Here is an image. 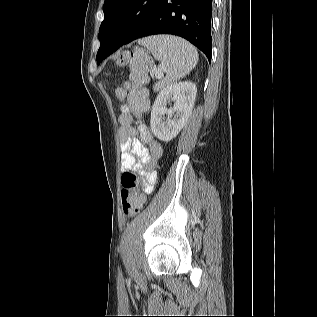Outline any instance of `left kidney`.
I'll return each instance as SVG.
<instances>
[{
    "mask_svg": "<svg viewBox=\"0 0 317 317\" xmlns=\"http://www.w3.org/2000/svg\"><path fill=\"white\" fill-rule=\"evenodd\" d=\"M196 94V85L190 81L171 84L159 93L150 119L151 130L159 140L168 142L177 136L192 112ZM170 101L174 105L167 109L166 104ZM164 115L168 116L166 121Z\"/></svg>",
    "mask_w": 317,
    "mask_h": 317,
    "instance_id": "obj_1",
    "label": "left kidney"
}]
</instances>
